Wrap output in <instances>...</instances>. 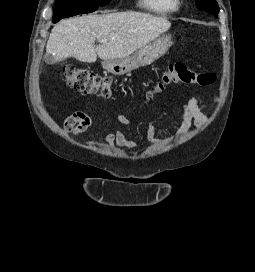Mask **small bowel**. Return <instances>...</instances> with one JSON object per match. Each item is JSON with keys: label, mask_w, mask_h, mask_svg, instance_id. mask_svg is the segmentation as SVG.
<instances>
[{"label": "small bowel", "mask_w": 255, "mask_h": 272, "mask_svg": "<svg viewBox=\"0 0 255 272\" xmlns=\"http://www.w3.org/2000/svg\"><path fill=\"white\" fill-rule=\"evenodd\" d=\"M183 122L179 129V134L184 133L192 126H202L206 120V116L201 112L199 103L196 97L191 96L182 105ZM114 121L117 122L121 128L115 133H108L105 137L106 142L111 146H120L129 149L137 147L134 139L126 136V130L130 126V120L125 115H116ZM91 125V118L85 112H75L67 117L63 123L65 132L75 136L85 132ZM156 129L152 122L147 125L146 131L143 135L145 141L158 144L156 139Z\"/></svg>", "instance_id": "1"}]
</instances>
